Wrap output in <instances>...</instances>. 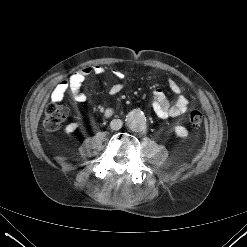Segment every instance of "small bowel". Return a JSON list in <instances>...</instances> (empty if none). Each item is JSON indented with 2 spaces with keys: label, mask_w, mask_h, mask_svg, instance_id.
Instances as JSON below:
<instances>
[{
  "label": "small bowel",
  "mask_w": 247,
  "mask_h": 247,
  "mask_svg": "<svg viewBox=\"0 0 247 247\" xmlns=\"http://www.w3.org/2000/svg\"><path fill=\"white\" fill-rule=\"evenodd\" d=\"M104 72L105 69L101 65H92L78 70L69 78V80H63L55 86L51 95L52 100L60 102L63 100L66 92L70 91L72 98L76 103L85 102L87 96L82 90L83 82L92 74L102 75ZM112 75L117 81L110 86L109 93L111 95H116L123 89L121 80L124 75L118 69H113ZM169 87L174 93L180 92L179 85L172 79L169 80ZM187 108L188 100L184 96H179L176 102L171 104L162 89L158 88L153 93V110L161 119L178 117L185 113Z\"/></svg>",
  "instance_id": "obj_1"
}]
</instances>
